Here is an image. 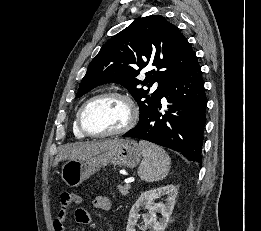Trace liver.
<instances>
[{
    "label": "liver",
    "instance_id": "6515ba94",
    "mask_svg": "<svg viewBox=\"0 0 261 231\" xmlns=\"http://www.w3.org/2000/svg\"><path fill=\"white\" fill-rule=\"evenodd\" d=\"M119 141L114 139L66 145L55 158L53 166L56 167L62 160H81L100 154Z\"/></svg>",
    "mask_w": 261,
    "mask_h": 231
}]
</instances>
